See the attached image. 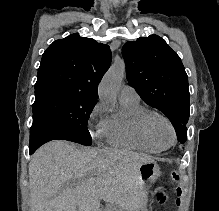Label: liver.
Returning <instances> with one entry per match:
<instances>
[{
    "instance_id": "obj_1",
    "label": "liver",
    "mask_w": 219,
    "mask_h": 211,
    "mask_svg": "<svg viewBox=\"0 0 219 211\" xmlns=\"http://www.w3.org/2000/svg\"><path fill=\"white\" fill-rule=\"evenodd\" d=\"M149 159L146 153L114 147L77 149L64 139L48 141L28 165L31 211H106L101 199L140 211L146 195L139 167Z\"/></svg>"
}]
</instances>
